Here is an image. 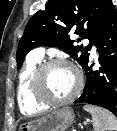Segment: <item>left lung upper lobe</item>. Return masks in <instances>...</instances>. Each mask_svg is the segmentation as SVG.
Listing matches in <instances>:
<instances>
[{"label":"left lung upper lobe","instance_id":"left-lung-upper-lobe-1","mask_svg":"<svg viewBox=\"0 0 117 131\" xmlns=\"http://www.w3.org/2000/svg\"><path fill=\"white\" fill-rule=\"evenodd\" d=\"M111 4V0H49L25 28L17 48V68H21L26 54L39 46L62 49L84 67ZM70 31L80 36L77 41L88 38L89 45L75 46V40L68 36Z\"/></svg>","mask_w":117,"mask_h":131}]
</instances>
